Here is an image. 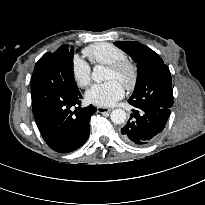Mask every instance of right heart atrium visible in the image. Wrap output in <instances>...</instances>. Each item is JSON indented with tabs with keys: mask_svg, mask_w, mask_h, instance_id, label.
I'll return each instance as SVG.
<instances>
[{
	"mask_svg": "<svg viewBox=\"0 0 205 205\" xmlns=\"http://www.w3.org/2000/svg\"><path fill=\"white\" fill-rule=\"evenodd\" d=\"M71 75L75 84L80 88H86L92 82L91 67L79 55H74L72 58Z\"/></svg>",
	"mask_w": 205,
	"mask_h": 205,
	"instance_id": "d8ad5b80",
	"label": "right heart atrium"
}]
</instances>
